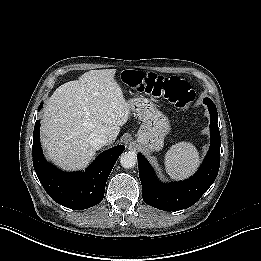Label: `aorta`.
Here are the masks:
<instances>
[{
  "label": "aorta",
  "instance_id": "762f6f07",
  "mask_svg": "<svg viewBox=\"0 0 261 261\" xmlns=\"http://www.w3.org/2000/svg\"><path fill=\"white\" fill-rule=\"evenodd\" d=\"M137 163V156L134 152H124L120 156V164L125 169H131L135 167Z\"/></svg>",
  "mask_w": 261,
  "mask_h": 261
}]
</instances>
